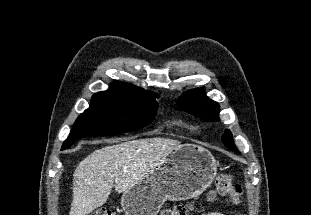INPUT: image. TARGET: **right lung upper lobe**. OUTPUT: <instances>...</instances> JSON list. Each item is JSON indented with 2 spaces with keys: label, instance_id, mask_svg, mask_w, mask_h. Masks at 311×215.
<instances>
[{
  "label": "right lung upper lobe",
  "instance_id": "obj_1",
  "mask_svg": "<svg viewBox=\"0 0 311 215\" xmlns=\"http://www.w3.org/2000/svg\"><path fill=\"white\" fill-rule=\"evenodd\" d=\"M94 96H110L122 99L150 101L155 100L158 95L150 93L135 85L114 81L107 91L94 94Z\"/></svg>",
  "mask_w": 311,
  "mask_h": 215
}]
</instances>
